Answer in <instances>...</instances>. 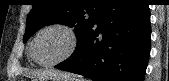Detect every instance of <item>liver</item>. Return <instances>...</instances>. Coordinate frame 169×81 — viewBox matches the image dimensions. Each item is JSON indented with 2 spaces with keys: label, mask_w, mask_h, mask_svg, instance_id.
I'll return each mask as SVG.
<instances>
[{
  "label": "liver",
  "mask_w": 169,
  "mask_h": 81,
  "mask_svg": "<svg viewBox=\"0 0 169 81\" xmlns=\"http://www.w3.org/2000/svg\"><path fill=\"white\" fill-rule=\"evenodd\" d=\"M29 75L33 79H36V78H45V77H50V76L66 77V75L64 73H61L59 71H51V70L33 71Z\"/></svg>",
  "instance_id": "liver-1"
}]
</instances>
